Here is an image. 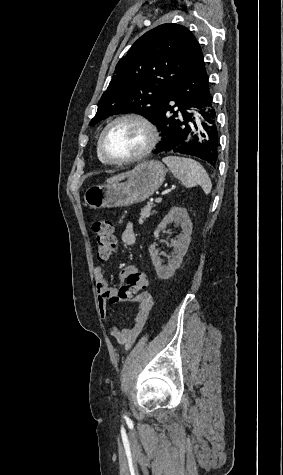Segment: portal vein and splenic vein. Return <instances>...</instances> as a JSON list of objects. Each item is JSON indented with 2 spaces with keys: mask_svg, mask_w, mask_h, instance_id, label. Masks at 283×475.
I'll return each mask as SVG.
<instances>
[{
  "mask_svg": "<svg viewBox=\"0 0 283 475\" xmlns=\"http://www.w3.org/2000/svg\"><path fill=\"white\" fill-rule=\"evenodd\" d=\"M162 196L160 198H157V200H155V202H162Z\"/></svg>",
  "mask_w": 283,
  "mask_h": 475,
  "instance_id": "obj_1",
  "label": "portal vein and splenic vein"
}]
</instances>
